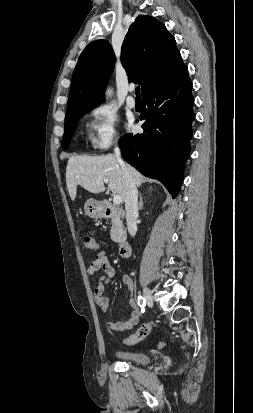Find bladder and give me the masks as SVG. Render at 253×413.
Segmentation results:
<instances>
[{"mask_svg": "<svg viewBox=\"0 0 253 413\" xmlns=\"http://www.w3.org/2000/svg\"><path fill=\"white\" fill-rule=\"evenodd\" d=\"M115 356L121 361L137 365H146L151 361V358L148 355L138 352L115 351Z\"/></svg>", "mask_w": 253, "mask_h": 413, "instance_id": "obj_1", "label": "bladder"}]
</instances>
